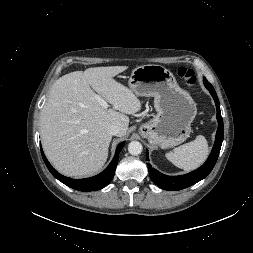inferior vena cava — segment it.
<instances>
[{
  "instance_id": "inferior-vena-cava-1",
  "label": "inferior vena cava",
  "mask_w": 253,
  "mask_h": 253,
  "mask_svg": "<svg viewBox=\"0 0 253 253\" xmlns=\"http://www.w3.org/2000/svg\"><path fill=\"white\" fill-rule=\"evenodd\" d=\"M110 135H118L120 133V128L117 125H111L107 128Z\"/></svg>"
}]
</instances>
